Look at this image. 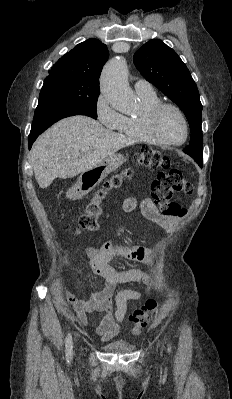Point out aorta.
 Here are the masks:
<instances>
[{
  "mask_svg": "<svg viewBox=\"0 0 232 399\" xmlns=\"http://www.w3.org/2000/svg\"><path fill=\"white\" fill-rule=\"evenodd\" d=\"M128 69L124 59H111L103 68L100 88L113 108L128 112L136 105V97L128 83Z\"/></svg>",
  "mask_w": 232,
  "mask_h": 399,
  "instance_id": "1",
  "label": "aorta"
}]
</instances>
